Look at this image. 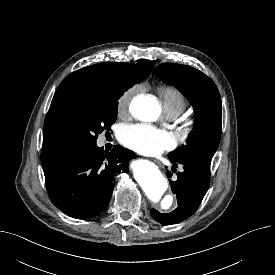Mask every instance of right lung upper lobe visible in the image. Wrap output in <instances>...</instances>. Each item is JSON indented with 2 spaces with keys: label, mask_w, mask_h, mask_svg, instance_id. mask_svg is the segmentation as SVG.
Masks as SVG:
<instances>
[{
  "label": "right lung upper lobe",
  "mask_w": 275,
  "mask_h": 275,
  "mask_svg": "<svg viewBox=\"0 0 275 275\" xmlns=\"http://www.w3.org/2000/svg\"><path fill=\"white\" fill-rule=\"evenodd\" d=\"M153 63L142 60L137 64L104 62L74 71L58 86L50 108L66 97L91 96L98 94L114 95L125 92L139 81L148 77ZM71 149L50 122V109L43 127L42 166H47Z\"/></svg>",
  "instance_id": "right-lung-upper-lobe-1"
}]
</instances>
